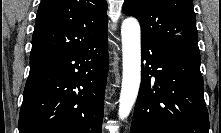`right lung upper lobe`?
I'll return each instance as SVG.
<instances>
[{"label":"right lung upper lobe","mask_w":221,"mask_h":133,"mask_svg":"<svg viewBox=\"0 0 221 133\" xmlns=\"http://www.w3.org/2000/svg\"><path fill=\"white\" fill-rule=\"evenodd\" d=\"M106 0H42L30 59L78 50L107 30Z\"/></svg>","instance_id":"1"}]
</instances>
